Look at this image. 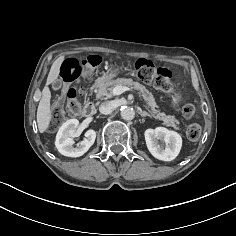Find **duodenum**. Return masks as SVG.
<instances>
[{
    "label": "duodenum",
    "instance_id": "obj_1",
    "mask_svg": "<svg viewBox=\"0 0 236 236\" xmlns=\"http://www.w3.org/2000/svg\"><path fill=\"white\" fill-rule=\"evenodd\" d=\"M94 87H95V83H93L90 87L89 99L87 100V102L85 103V106H84V115L86 117H91L95 113V103L92 99Z\"/></svg>",
    "mask_w": 236,
    "mask_h": 236
}]
</instances>
